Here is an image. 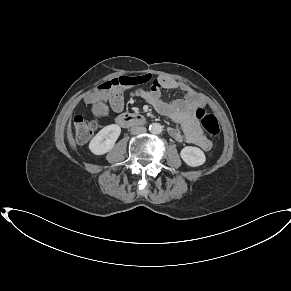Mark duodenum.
Masks as SVG:
<instances>
[{"label":"duodenum","instance_id":"duodenum-1","mask_svg":"<svg viewBox=\"0 0 291 291\" xmlns=\"http://www.w3.org/2000/svg\"><path fill=\"white\" fill-rule=\"evenodd\" d=\"M116 122L120 126L127 128L135 125H144L146 123V119L142 115L123 113L116 118Z\"/></svg>","mask_w":291,"mask_h":291}]
</instances>
